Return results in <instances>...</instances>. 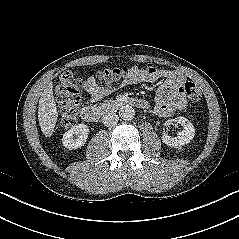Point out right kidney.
I'll return each mask as SVG.
<instances>
[{
    "instance_id": "obj_1",
    "label": "right kidney",
    "mask_w": 239,
    "mask_h": 239,
    "mask_svg": "<svg viewBox=\"0 0 239 239\" xmlns=\"http://www.w3.org/2000/svg\"><path fill=\"white\" fill-rule=\"evenodd\" d=\"M89 134V128L86 124H77L72 126L62 138L63 146L69 150L82 147Z\"/></svg>"
}]
</instances>
